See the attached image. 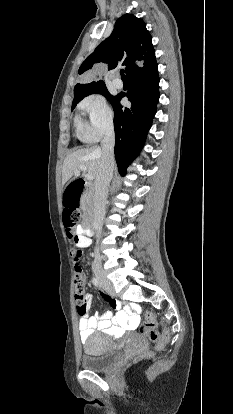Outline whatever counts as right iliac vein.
<instances>
[{
	"label": "right iliac vein",
	"instance_id": "obj_1",
	"mask_svg": "<svg viewBox=\"0 0 233 414\" xmlns=\"http://www.w3.org/2000/svg\"><path fill=\"white\" fill-rule=\"evenodd\" d=\"M94 273H95L96 277L99 279V281L102 284L103 288L107 292L113 293V291H114L113 285H112L111 281L106 277L105 273L100 269H95Z\"/></svg>",
	"mask_w": 233,
	"mask_h": 414
}]
</instances>
